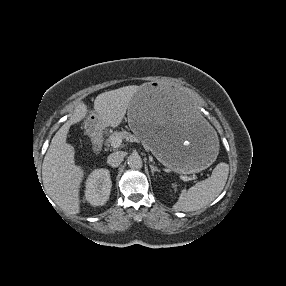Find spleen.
Here are the masks:
<instances>
[{
  "instance_id": "1",
  "label": "spleen",
  "mask_w": 286,
  "mask_h": 286,
  "mask_svg": "<svg viewBox=\"0 0 286 286\" xmlns=\"http://www.w3.org/2000/svg\"><path fill=\"white\" fill-rule=\"evenodd\" d=\"M229 174V165L219 163L212 175L188 190L183 189L173 208L177 211H196L210 204L223 190Z\"/></svg>"
}]
</instances>
